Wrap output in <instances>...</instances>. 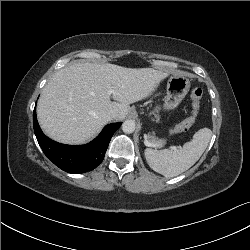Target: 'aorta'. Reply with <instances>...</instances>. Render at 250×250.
<instances>
[{"instance_id":"762f6f07","label":"aorta","mask_w":250,"mask_h":250,"mask_svg":"<svg viewBox=\"0 0 250 250\" xmlns=\"http://www.w3.org/2000/svg\"><path fill=\"white\" fill-rule=\"evenodd\" d=\"M135 122L134 120H126L123 124H122V130L124 133L126 134H130L133 133L135 131Z\"/></svg>"}]
</instances>
